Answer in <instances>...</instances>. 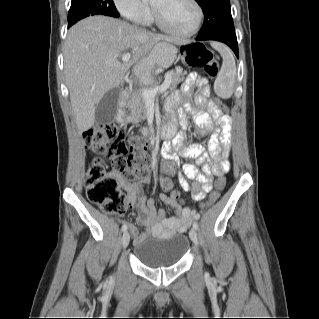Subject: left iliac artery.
Masks as SVG:
<instances>
[{"label": "left iliac artery", "mask_w": 319, "mask_h": 319, "mask_svg": "<svg viewBox=\"0 0 319 319\" xmlns=\"http://www.w3.org/2000/svg\"><path fill=\"white\" fill-rule=\"evenodd\" d=\"M193 228H194L195 230L198 229V224H197L196 222L193 223Z\"/></svg>", "instance_id": "obj_1"}]
</instances>
